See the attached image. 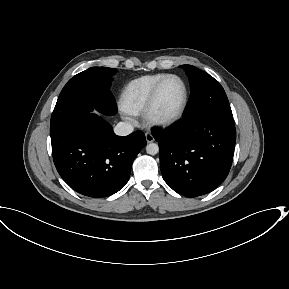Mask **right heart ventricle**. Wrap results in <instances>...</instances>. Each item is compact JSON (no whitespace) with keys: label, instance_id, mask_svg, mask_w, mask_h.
<instances>
[{"label":"right heart ventricle","instance_id":"right-heart-ventricle-1","mask_svg":"<svg viewBox=\"0 0 289 289\" xmlns=\"http://www.w3.org/2000/svg\"><path fill=\"white\" fill-rule=\"evenodd\" d=\"M166 75L168 74L156 73L131 80L120 96V106L123 111L131 115L143 113L153 88Z\"/></svg>","mask_w":289,"mask_h":289}]
</instances>
